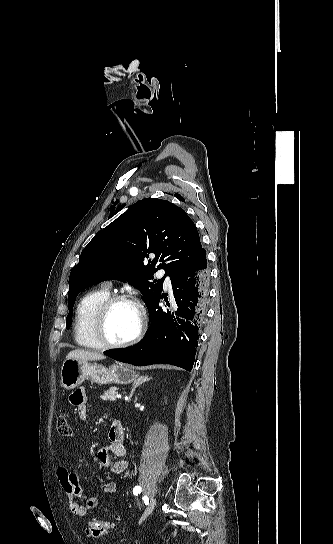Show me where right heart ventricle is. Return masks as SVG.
Instances as JSON below:
<instances>
[{"mask_svg": "<svg viewBox=\"0 0 333 544\" xmlns=\"http://www.w3.org/2000/svg\"><path fill=\"white\" fill-rule=\"evenodd\" d=\"M109 295V289L101 287L87 292L80 299L74 318V338L79 346L89 349L101 348L93 336L92 323L97 308Z\"/></svg>", "mask_w": 333, "mask_h": 544, "instance_id": "e07e8e85", "label": "right heart ventricle"}]
</instances>
